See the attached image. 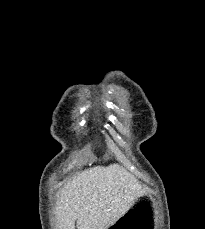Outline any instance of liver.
Masks as SVG:
<instances>
[{
  "label": "liver",
  "mask_w": 205,
  "mask_h": 229,
  "mask_svg": "<svg viewBox=\"0 0 205 229\" xmlns=\"http://www.w3.org/2000/svg\"><path fill=\"white\" fill-rule=\"evenodd\" d=\"M135 178L119 165L82 171L64 185L56 207L59 229H108L133 205Z\"/></svg>",
  "instance_id": "liver-1"
}]
</instances>
